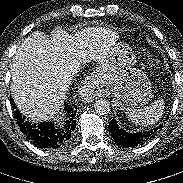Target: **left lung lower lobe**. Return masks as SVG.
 Segmentation results:
<instances>
[{
    "label": "left lung lower lobe",
    "instance_id": "1",
    "mask_svg": "<svg viewBox=\"0 0 183 183\" xmlns=\"http://www.w3.org/2000/svg\"><path fill=\"white\" fill-rule=\"evenodd\" d=\"M161 126L154 128L146 132L129 133L121 129L115 119H112L109 123V131L114 141L124 147H134L154 136Z\"/></svg>",
    "mask_w": 183,
    "mask_h": 183
}]
</instances>
